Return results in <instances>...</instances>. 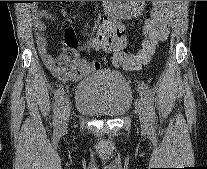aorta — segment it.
Wrapping results in <instances>:
<instances>
[{
    "mask_svg": "<svg viewBox=\"0 0 207 169\" xmlns=\"http://www.w3.org/2000/svg\"><path fill=\"white\" fill-rule=\"evenodd\" d=\"M133 1H109V10L111 12L124 13L127 12Z\"/></svg>",
    "mask_w": 207,
    "mask_h": 169,
    "instance_id": "1",
    "label": "aorta"
}]
</instances>
